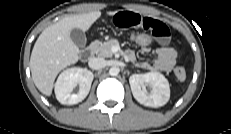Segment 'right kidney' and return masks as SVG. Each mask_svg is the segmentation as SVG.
I'll return each instance as SVG.
<instances>
[{
  "label": "right kidney",
  "instance_id": "right-kidney-1",
  "mask_svg": "<svg viewBox=\"0 0 231 134\" xmlns=\"http://www.w3.org/2000/svg\"><path fill=\"white\" fill-rule=\"evenodd\" d=\"M94 75L82 68L73 67L64 70L55 83L57 100L64 105H73L81 102L88 95ZM79 85V91L72 94L73 88Z\"/></svg>",
  "mask_w": 231,
  "mask_h": 134
}]
</instances>
